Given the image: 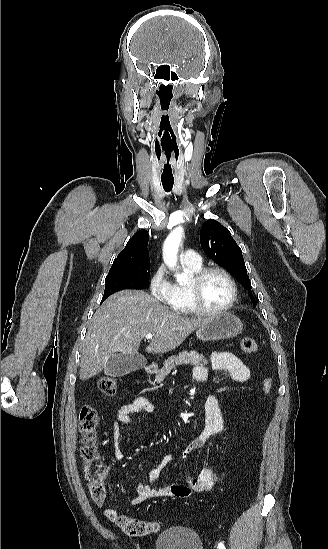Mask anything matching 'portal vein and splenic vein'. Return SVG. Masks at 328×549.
<instances>
[{"label": "portal vein and splenic vein", "mask_w": 328, "mask_h": 549, "mask_svg": "<svg viewBox=\"0 0 328 549\" xmlns=\"http://www.w3.org/2000/svg\"><path fill=\"white\" fill-rule=\"evenodd\" d=\"M153 335L152 333H147L145 339H152Z\"/></svg>", "instance_id": "1"}]
</instances>
